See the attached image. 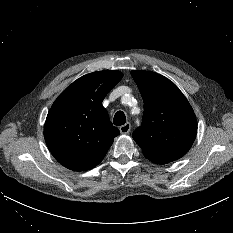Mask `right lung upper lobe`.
<instances>
[{
	"label": "right lung upper lobe",
	"mask_w": 233,
	"mask_h": 233,
	"mask_svg": "<svg viewBox=\"0 0 233 233\" xmlns=\"http://www.w3.org/2000/svg\"><path fill=\"white\" fill-rule=\"evenodd\" d=\"M122 77L117 70L84 75L53 103L45 121L44 138L64 167L74 171L94 168L120 134L102 101Z\"/></svg>",
	"instance_id": "1"
}]
</instances>
